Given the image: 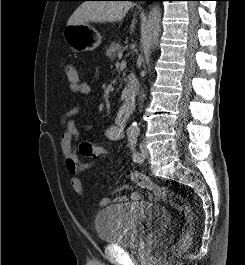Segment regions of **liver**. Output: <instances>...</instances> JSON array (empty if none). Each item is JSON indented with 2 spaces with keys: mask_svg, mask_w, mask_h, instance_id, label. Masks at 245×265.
I'll return each mask as SVG.
<instances>
[{
  "mask_svg": "<svg viewBox=\"0 0 245 265\" xmlns=\"http://www.w3.org/2000/svg\"><path fill=\"white\" fill-rule=\"evenodd\" d=\"M133 6L129 1H85L70 16L67 25L121 21ZM134 23L131 29L134 28Z\"/></svg>",
  "mask_w": 245,
  "mask_h": 265,
  "instance_id": "obj_1",
  "label": "liver"
}]
</instances>
